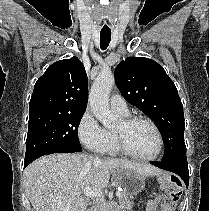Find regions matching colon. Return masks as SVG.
<instances>
[{"instance_id": "1", "label": "colon", "mask_w": 209, "mask_h": 211, "mask_svg": "<svg viewBox=\"0 0 209 211\" xmlns=\"http://www.w3.org/2000/svg\"><path fill=\"white\" fill-rule=\"evenodd\" d=\"M166 186L168 188L171 206L175 208L181 196V182L177 178L171 177L168 179Z\"/></svg>"}]
</instances>
